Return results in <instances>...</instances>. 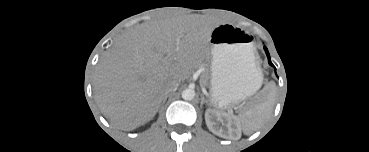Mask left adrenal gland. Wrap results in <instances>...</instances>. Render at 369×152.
Here are the masks:
<instances>
[{"label":"left adrenal gland","instance_id":"obj_1","mask_svg":"<svg viewBox=\"0 0 369 152\" xmlns=\"http://www.w3.org/2000/svg\"><path fill=\"white\" fill-rule=\"evenodd\" d=\"M204 103L208 104V101H207V100L204 98V96L202 95V96H201V107H202V105H203Z\"/></svg>","mask_w":369,"mask_h":152}]
</instances>
